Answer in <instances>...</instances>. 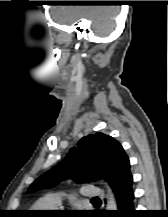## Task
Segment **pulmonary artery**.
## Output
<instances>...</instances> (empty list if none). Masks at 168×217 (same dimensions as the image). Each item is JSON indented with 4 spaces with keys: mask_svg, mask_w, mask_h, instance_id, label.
Listing matches in <instances>:
<instances>
[{
    "mask_svg": "<svg viewBox=\"0 0 168 217\" xmlns=\"http://www.w3.org/2000/svg\"><path fill=\"white\" fill-rule=\"evenodd\" d=\"M104 195V192L102 188L95 187V186H86L82 188V198H85L87 200L94 199L98 197H102ZM46 202L54 207L61 204V197L57 193H53L48 195V197L45 199Z\"/></svg>",
    "mask_w": 168,
    "mask_h": 217,
    "instance_id": "e3ab8cb5",
    "label": "pulmonary artery"
}]
</instances>
